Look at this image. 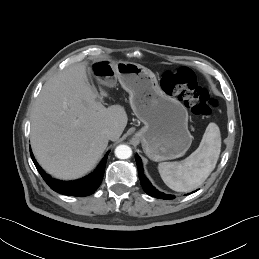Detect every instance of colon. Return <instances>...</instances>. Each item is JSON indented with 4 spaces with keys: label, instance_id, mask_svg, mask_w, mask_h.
<instances>
[{
    "label": "colon",
    "instance_id": "colon-1",
    "mask_svg": "<svg viewBox=\"0 0 259 259\" xmlns=\"http://www.w3.org/2000/svg\"><path fill=\"white\" fill-rule=\"evenodd\" d=\"M161 87L169 95L176 96L190 111L203 118L212 115L216 101L201 87L195 74L185 67L166 70L161 76Z\"/></svg>",
    "mask_w": 259,
    "mask_h": 259
}]
</instances>
